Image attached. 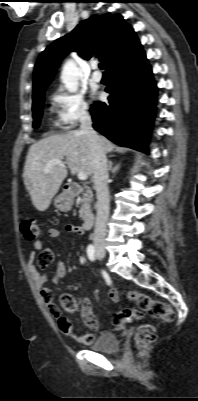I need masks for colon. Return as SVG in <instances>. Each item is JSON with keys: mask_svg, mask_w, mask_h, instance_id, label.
Here are the masks:
<instances>
[{"mask_svg": "<svg viewBox=\"0 0 198 401\" xmlns=\"http://www.w3.org/2000/svg\"><path fill=\"white\" fill-rule=\"evenodd\" d=\"M20 230L27 240H35L40 234L36 221L30 217L20 219ZM128 299L135 302L137 308H125L116 313L113 318L114 325L123 327L131 320L141 319L144 313L152 317L169 323L174 318L173 310L163 301L153 299L150 296L131 291L128 293ZM75 307L74 300L69 295H63L60 305L52 304V314L59 317L63 309L72 310ZM156 332L150 325H143L138 328L135 341L140 355H144L149 346L155 341Z\"/></svg>", "mask_w": 198, "mask_h": 401, "instance_id": "5ec220e1", "label": "colon"}]
</instances>
